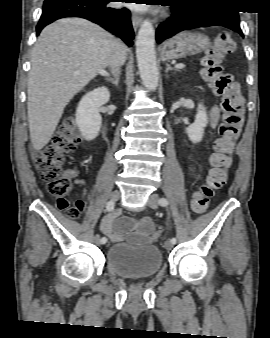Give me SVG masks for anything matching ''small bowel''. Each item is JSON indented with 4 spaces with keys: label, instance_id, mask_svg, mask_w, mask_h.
<instances>
[{
    "label": "small bowel",
    "instance_id": "obj_1",
    "mask_svg": "<svg viewBox=\"0 0 270 338\" xmlns=\"http://www.w3.org/2000/svg\"><path fill=\"white\" fill-rule=\"evenodd\" d=\"M219 115V108L213 106L210 111L211 123L215 124ZM191 174L195 176L194 169H191ZM85 204V201L79 200ZM127 224H136L138 227H129ZM100 229L103 234L107 235L112 241H141L152 243L157 240L158 234L155 232L154 224L149 218L133 220L127 216H122L119 219V211L114 210L104 216Z\"/></svg>",
    "mask_w": 270,
    "mask_h": 338
}]
</instances>
